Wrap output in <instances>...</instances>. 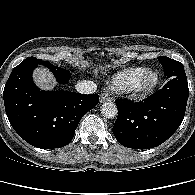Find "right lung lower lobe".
Listing matches in <instances>:
<instances>
[{
  "mask_svg": "<svg viewBox=\"0 0 195 195\" xmlns=\"http://www.w3.org/2000/svg\"><path fill=\"white\" fill-rule=\"evenodd\" d=\"M37 65L36 58L29 57L12 70L3 92L6 114L29 144L60 148L72 140L83 115L98 104L99 95L40 90L32 80Z\"/></svg>",
  "mask_w": 195,
  "mask_h": 195,
  "instance_id": "right-lung-lower-lobe-1",
  "label": "right lung lower lobe"
}]
</instances>
